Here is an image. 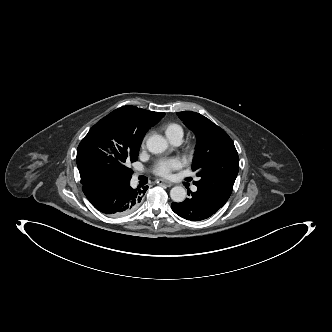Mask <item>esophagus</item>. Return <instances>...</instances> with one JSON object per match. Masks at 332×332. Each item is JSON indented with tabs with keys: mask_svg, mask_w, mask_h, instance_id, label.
<instances>
[{
	"mask_svg": "<svg viewBox=\"0 0 332 332\" xmlns=\"http://www.w3.org/2000/svg\"><path fill=\"white\" fill-rule=\"evenodd\" d=\"M157 183L158 184H163V185H166L167 187H171L173 184L167 180H164V179H158L157 180Z\"/></svg>",
	"mask_w": 332,
	"mask_h": 332,
	"instance_id": "34e87169",
	"label": "esophagus"
}]
</instances>
